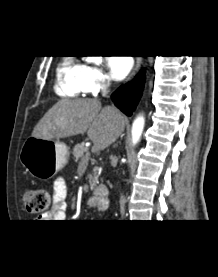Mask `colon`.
I'll list each match as a JSON object with an SVG mask.
<instances>
[{
	"instance_id": "colon-1",
	"label": "colon",
	"mask_w": 218,
	"mask_h": 277,
	"mask_svg": "<svg viewBox=\"0 0 218 277\" xmlns=\"http://www.w3.org/2000/svg\"><path fill=\"white\" fill-rule=\"evenodd\" d=\"M23 204L30 214H41L50 205V193L44 188H29L23 194Z\"/></svg>"
}]
</instances>
